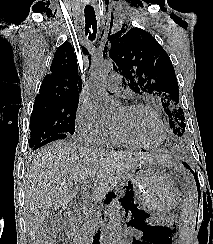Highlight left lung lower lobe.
Wrapping results in <instances>:
<instances>
[{
    "label": "left lung lower lobe",
    "mask_w": 213,
    "mask_h": 244,
    "mask_svg": "<svg viewBox=\"0 0 213 244\" xmlns=\"http://www.w3.org/2000/svg\"><path fill=\"white\" fill-rule=\"evenodd\" d=\"M183 165H184L186 168H188V169L191 171V173H193V175H194V177H195V180H196V184H197L198 194H199V197H200V187H199V182H198V180H197V177H196L195 173L192 171V169L189 167V165H188L187 163L183 162ZM121 202H122V206L124 207V209H125V211H126V213H127V211H128L127 207H129V205H128V201H127V197L124 196V197L121 199Z\"/></svg>",
    "instance_id": "obj_1"
}]
</instances>
